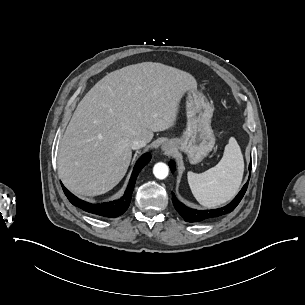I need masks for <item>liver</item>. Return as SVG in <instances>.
<instances>
[{
  "mask_svg": "<svg viewBox=\"0 0 305 305\" xmlns=\"http://www.w3.org/2000/svg\"><path fill=\"white\" fill-rule=\"evenodd\" d=\"M195 78L161 63L143 62L107 74L83 97L60 140L58 175L75 194L97 196L125 176L130 143L175 123L179 102Z\"/></svg>",
  "mask_w": 305,
  "mask_h": 305,
  "instance_id": "6515ba94",
  "label": "liver"
}]
</instances>
